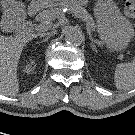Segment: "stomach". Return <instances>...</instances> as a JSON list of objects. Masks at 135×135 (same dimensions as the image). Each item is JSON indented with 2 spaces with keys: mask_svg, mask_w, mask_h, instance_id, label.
Masks as SVG:
<instances>
[{
  "mask_svg": "<svg viewBox=\"0 0 135 135\" xmlns=\"http://www.w3.org/2000/svg\"><path fill=\"white\" fill-rule=\"evenodd\" d=\"M19 11L22 9L18 6ZM98 31L111 50L124 49L134 36V26L126 19L113 0H97L94 8Z\"/></svg>",
  "mask_w": 135,
  "mask_h": 135,
  "instance_id": "stomach-1",
  "label": "stomach"
}]
</instances>
